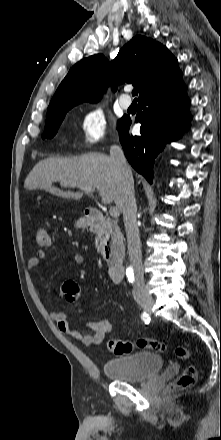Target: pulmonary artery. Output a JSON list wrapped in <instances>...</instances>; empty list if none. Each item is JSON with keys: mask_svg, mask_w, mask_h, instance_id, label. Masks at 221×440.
Here are the masks:
<instances>
[{"mask_svg": "<svg viewBox=\"0 0 221 440\" xmlns=\"http://www.w3.org/2000/svg\"><path fill=\"white\" fill-rule=\"evenodd\" d=\"M126 91H128V89H126ZM119 103L123 109H128L131 106L132 100L127 94H124L120 97Z\"/></svg>", "mask_w": 221, "mask_h": 440, "instance_id": "obj_1", "label": "pulmonary artery"}]
</instances>
